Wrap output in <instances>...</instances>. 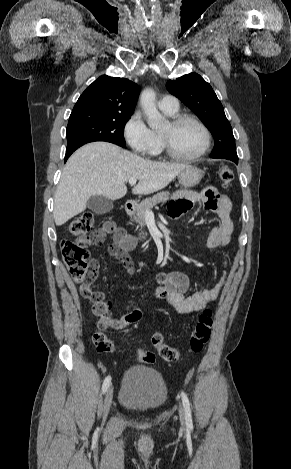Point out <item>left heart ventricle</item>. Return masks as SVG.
I'll return each mask as SVG.
<instances>
[{
    "label": "left heart ventricle",
    "mask_w": 291,
    "mask_h": 469,
    "mask_svg": "<svg viewBox=\"0 0 291 469\" xmlns=\"http://www.w3.org/2000/svg\"><path fill=\"white\" fill-rule=\"evenodd\" d=\"M174 149L181 156H192L198 153L204 143L201 129L191 121H185L176 127L169 123L162 129Z\"/></svg>",
    "instance_id": "1"
}]
</instances>
